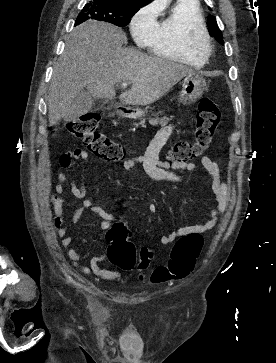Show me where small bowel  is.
I'll use <instances>...</instances> for the list:
<instances>
[{"label": "small bowel", "mask_w": 276, "mask_h": 363, "mask_svg": "<svg viewBox=\"0 0 276 363\" xmlns=\"http://www.w3.org/2000/svg\"><path fill=\"white\" fill-rule=\"evenodd\" d=\"M175 131V125H169L162 128L151 141L146 153L142 156L123 160L120 165L123 169L130 171L138 165H141L145 173L156 181L178 183L184 179V171H196V167L193 164L187 163H173L161 162L159 160V153L167 140L172 136ZM89 159V154L86 150L76 148L74 150H68L64 152L59 159L60 167L62 171L58 174V183L55 186V190L60 193H66L69 191L74 197L83 199L82 205L77 208L73 215L72 221L76 223L82 214L89 210L100 217V226L102 229H108L112 226L116 220V215L106 212L102 207L96 205L91 197H86L85 179L86 173L82 169L80 173V184H77L75 180H71L69 187L66 188L64 183L68 180L67 171L71 168H76L81 162H86ZM202 165L207 171L209 177L210 187L214 194L215 204L209 211L208 218L203 223L180 227L168 234L161 236L160 243L162 245H169L177 238L190 233H206L212 230L218 223L221 215L225 212L229 200L228 186L222 182L218 174L217 164L209 157L202 158ZM97 190H95L96 193ZM64 203L63 199L57 202V211L61 214L60 207ZM150 213H155L156 208L154 205L149 207ZM58 236L61 239V243L64 247H69L74 243L79 244H93L100 240V237L95 238H75L67 236L66 227L61 228L58 231ZM67 255L72 264L83 274H94L104 280H116L121 277V273L116 270L103 268L101 265L106 261V249L104 247H98L86 252H80L77 249L71 248L68 250ZM88 261V266H82L81 262Z\"/></svg>", "instance_id": "small-bowel-1"}]
</instances>
